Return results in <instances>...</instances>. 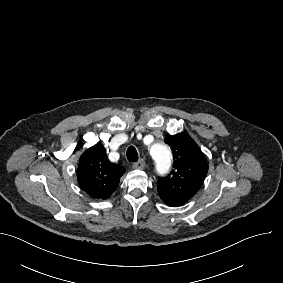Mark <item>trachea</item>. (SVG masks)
Instances as JSON below:
<instances>
[{"mask_svg": "<svg viewBox=\"0 0 283 283\" xmlns=\"http://www.w3.org/2000/svg\"><path fill=\"white\" fill-rule=\"evenodd\" d=\"M126 154H127V159L130 162H135V161H137L139 159L137 150H136V148L134 146L128 147Z\"/></svg>", "mask_w": 283, "mask_h": 283, "instance_id": "obj_1", "label": "trachea"}]
</instances>
